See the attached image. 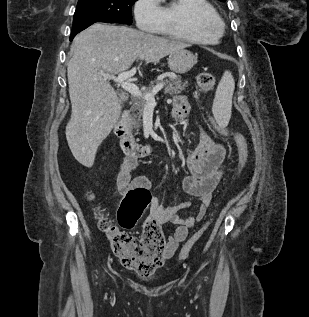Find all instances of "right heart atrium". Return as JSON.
Masks as SVG:
<instances>
[{
    "label": "right heart atrium",
    "mask_w": 309,
    "mask_h": 317,
    "mask_svg": "<svg viewBox=\"0 0 309 317\" xmlns=\"http://www.w3.org/2000/svg\"><path fill=\"white\" fill-rule=\"evenodd\" d=\"M133 14L137 26L146 32H157L163 23L159 0H136Z\"/></svg>",
    "instance_id": "1"
}]
</instances>
